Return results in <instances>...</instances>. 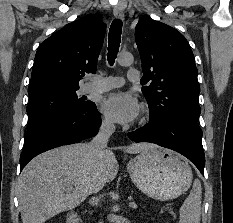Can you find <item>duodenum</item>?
<instances>
[{
	"label": "duodenum",
	"mask_w": 233,
	"mask_h": 223,
	"mask_svg": "<svg viewBox=\"0 0 233 223\" xmlns=\"http://www.w3.org/2000/svg\"><path fill=\"white\" fill-rule=\"evenodd\" d=\"M67 223H81V219L76 212H69L66 216Z\"/></svg>",
	"instance_id": "duodenum-1"
}]
</instances>
